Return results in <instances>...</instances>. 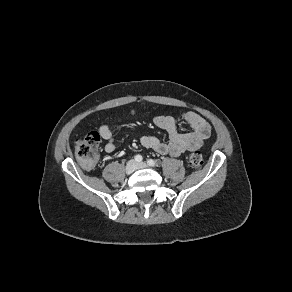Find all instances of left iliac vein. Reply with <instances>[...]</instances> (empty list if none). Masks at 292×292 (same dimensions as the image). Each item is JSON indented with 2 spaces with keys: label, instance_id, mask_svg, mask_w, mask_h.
Listing matches in <instances>:
<instances>
[{
  "label": "left iliac vein",
  "instance_id": "left-iliac-vein-1",
  "mask_svg": "<svg viewBox=\"0 0 292 292\" xmlns=\"http://www.w3.org/2000/svg\"><path fill=\"white\" fill-rule=\"evenodd\" d=\"M147 167V164L145 162H140L137 164V168H145Z\"/></svg>",
  "mask_w": 292,
  "mask_h": 292
}]
</instances>
